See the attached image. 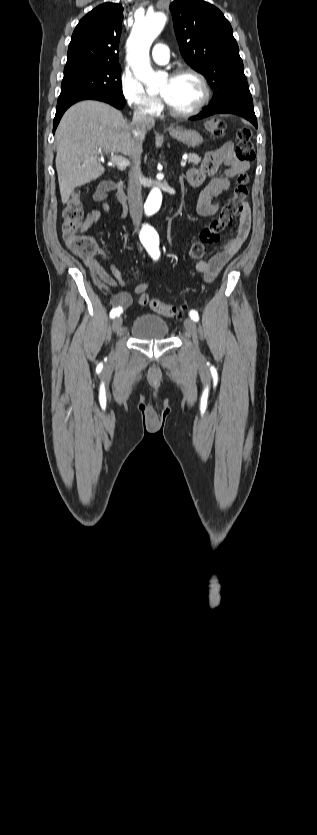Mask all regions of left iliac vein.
Instances as JSON below:
<instances>
[{
    "instance_id": "obj_1",
    "label": "left iliac vein",
    "mask_w": 317,
    "mask_h": 835,
    "mask_svg": "<svg viewBox=\"0 0 317 835\" xmlns=\"http://www.w3.org/2000/svg\"><path fill=\"white\" fill-rule=\"evenodd\" d=\"M184 327H185L187 333L189 334V336L192 338L194 346H195L196 350L198 351V337H197L196 324L194 323V321L192 319L186 318L184 320Z\"/></svg>"
}]
</instances>
